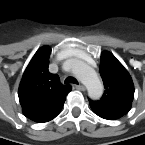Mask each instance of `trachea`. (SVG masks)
Here are the masks:
<instances>
[{"instance_id": "trachea-1", "label": "trachea", "mask_w": 145, "mask_h": 145, "mask_svg": "<svg viewBox=\"0 0 145 145\" xmlns=\"http://www.w3.org/2000/svg\"><path fill=\"white\" fill-rule=\"evenodd\" d=\"M65 83H74V84H78V81L74 78V77H67L65 79Z\"/></svg>"}]
</instances>
